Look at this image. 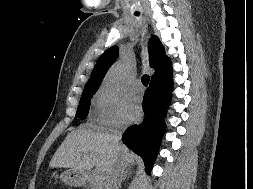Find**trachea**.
Listing matches in <instances>:
<instances>
[{
  "label": "trachea",
  "mask_w": 253,
  "mask_h": 189,
  "mask_svg": "<svg viewBox=\"0 0 253 189\" xmlns=\"http://www.w3.org/2000/svg\"><path fill=\"white\" fill-rule=\"evenodd\" d=\"M136 15L138 16V14H136ZM149 80H150L149 75H143L141 78L142 84L144 86H148Z\"/></svg>",
  "instance_id": "obj_1"
}]
</instances>
